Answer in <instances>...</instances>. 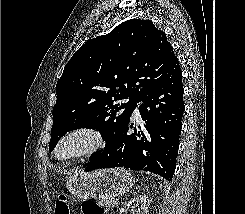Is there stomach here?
Returning <instances> with one entry per match:
<instances>
[{
	"label": "stomach",
	"instance_id": "0dacf381",
	"mask_svg": "<svg viewBox=\"0 0 245 214\" xmlns=\"http://www.w3.org/2000/svg\"><path fill=\"white\" fill-rule=\"evenodd\" d=\"M133 183V176L128 170L110 168L91 173L77 172L67 180V189L78 200L113 199L126 193Z\"/></svg>",
	"mask_w": 245,
	"mask_h": 214
}]
</instances>
